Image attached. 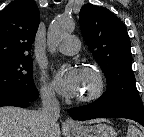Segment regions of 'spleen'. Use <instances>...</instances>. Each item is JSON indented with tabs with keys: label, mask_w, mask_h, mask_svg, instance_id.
<instances>
[{
	"label": "spleen",
	"mask_w": 144,
	"mask_h": 137,
	"mask_svg": "<svg viewBox=\"0 0 144 137\" xmlns=\"http://www.w3.org/2000/svg\"><path fill=\"white\" fill-rule=\"evenodd\" d=\"M127 137H144V135L137 127L129 125Z\"/></svg>",
	"instance_id": "3e777b00"
}]
</instances>
